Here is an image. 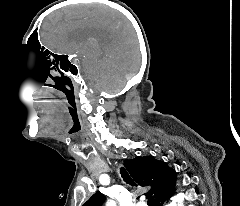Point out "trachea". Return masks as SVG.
Masks as SVG:
<instances>
[{
	"label": "trachea",
	"mask_w": 240,
	"mask_h": 206,
	"mask_svg": "<svg viewBox=\"0 0 240 206\" xmlns=\"http://www.w3.org/2000/svg\"><path fill=\"white\" fill-rule=\"evenodd\" d=\"M120 173H121V176H122L123 180L127 184H130L132 186H136V183L132 180V178L129 176V174L127 173V171L124 168L120 169ZM148 204H149V206H155V200H154L153 196L149 197Z\"/></svg>",
	"instance_id": "trachea-1"
}]
</instances>
